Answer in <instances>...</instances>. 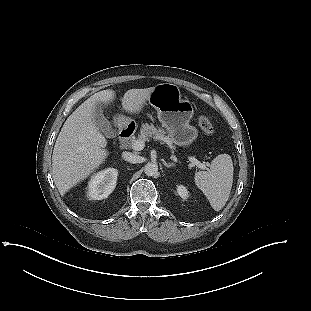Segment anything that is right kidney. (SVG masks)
<instances>
[{"mask_svg":"<svg viewBox=\"0 0 311 311\" xmlns=\"http://www.w3.org/2000/svg\"><path fill=\"white\" fill-rule=\"evenodd\" d=\"M108 179L103 174H97L89 182L88 195L93 200H102L106 198L114 189L116 183V176L107 183Z\"/></svg>","mask_w":311,"mask_h":311,"instance_id":"right-kidney-1","label":"right kidney"}]
</instances>
